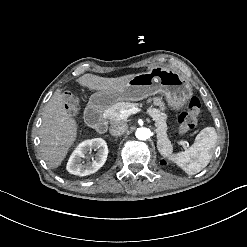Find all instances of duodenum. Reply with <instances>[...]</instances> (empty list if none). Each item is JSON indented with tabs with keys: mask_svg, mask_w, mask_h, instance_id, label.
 I'll return each mask as SVG.
<instances>
[{
	"mask_svg": "<svg viewBox=\"0 0 247 247\" xmlns=\"http://www.w3.org/2000/svg\"><path fill=\"white\" fill-rule=\"evenodd\" d=\"M85 118L89 126L98 133H105L107 131V121L99 106L89 105L85 111Z\"/></svg>",
	"mask_w": 247,
	"mask_h": 247,
	"instance_id": "410a0bca",
	"label": "duodenum"
}]
</instances>
